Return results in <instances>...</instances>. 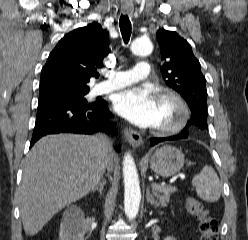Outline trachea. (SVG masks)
<instances>
[{"mask_svg": "<svg viewBox=\"0 0 248 240\" xmlns=\"http://www.w3.org/2000/svg\"><path fill=\"white\" fill-rule=\"evenodd\" d=\"M119 25L124 43L127 44L131 36V22L128 15H121Z\"/></svg>", "mask_w": 248, "mask_h": 240, "instance_id": "3493384b", "label": "trachea"}]
</instances>
